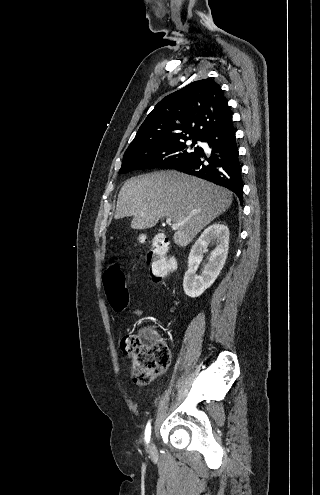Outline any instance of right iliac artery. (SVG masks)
Here are the masks:
<instances>
[{
	"label": "right iliac artery",
	"instance_id": "right-iliac-artery-1",
	"mask_svg": "<svg viewBox=\"0 0 320 495\" xmlns=\"http://www.w3.org/2000/svg\"><path fill=\"white\" fill-rule=\"evenodd\" d=\"M150 437H151V424H150V421H148V423L146 425V429H145V441L147 444L150 441Z\"/></svg>",
	"mask_w": 320,
	"mask_h": 495
}]
</instances>
